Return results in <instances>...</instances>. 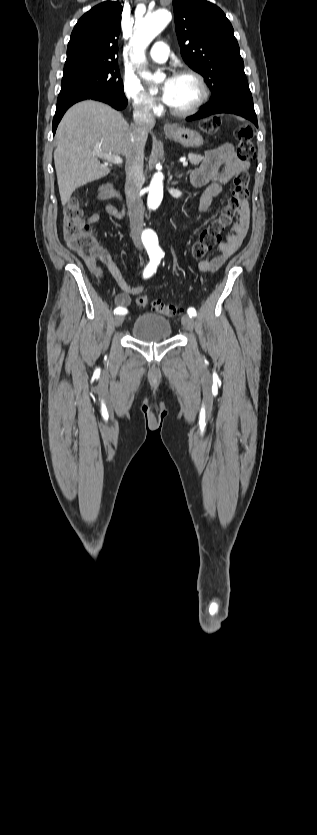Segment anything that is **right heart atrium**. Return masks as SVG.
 <instances>
[{"label":"right heart atrium","instance_id":"1","mask_svg":"<svg viewBox=\"0 0 317 835\" xmlns=\"http://www.w3.org/2000/svg\"><path fill=\"white\" fill-rule=\"evenodd\" d=\"M122 87L125 97L137 113L154 115L159 111V105L155 98L145 91L139 80L133 75H124Z\"/></svg>","mask_w":317,"mask_h":835}]
</instances>
